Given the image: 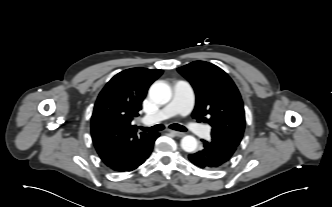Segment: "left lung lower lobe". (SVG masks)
Masks as SVG:
<instances>
[{
    "label": "left lung lower lobe",
    "instance_id": "0a47b994",
    "mask_svg": "<svg viewBox=\"0 0 332 207\" xmlns=\"http://www.w3.org/2000/svg\"><path fill=\"white\" fill-rule=\"evenodd\" d=\"M203 141V148L188 156L191 163L195 166L205 169L214 170L222 167L233 156L237 147L226 143L217 138H211L210 141Z\"/></svg>",
    "mask_w": 332,
    "mask_h": 207
}]
</instances>
